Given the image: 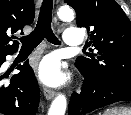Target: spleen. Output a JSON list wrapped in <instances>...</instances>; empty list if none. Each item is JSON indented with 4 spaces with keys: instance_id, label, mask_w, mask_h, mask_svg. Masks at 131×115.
<instances>
[{
    "instance_id": "1",
    "label": "spleen",
    "mask_w": 131,
    "mask_h": 115,
    "mask_svg": "<svg viewBox=\"0 0 131 115\" xmlns=\"http://www.w3.org/2000/svg\"><path fill=\"white\" fill-rule=\"evenodd\" d=\"M103 115H131V109L112 108V109L107 110Z\"/></svg>"
}]
</instances>
